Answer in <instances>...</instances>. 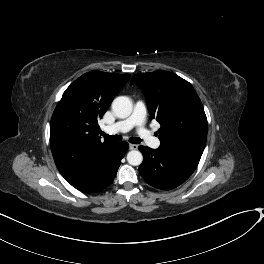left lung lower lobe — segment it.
Wrapping results in <instances>:
<instances>
[{"instance_id": "left-lung-lower-lobe-1", "label": "left lung lower lobe", "mask_w": 264, "mask_h": 264, "mask_svg": "<svg viewBox=\"0 0 264 264\" xmlns=\"http://www.w3.org/2000/svg\"><path fill=\"white\" fill-rule=\"evenodd\" d=\"M143 162L139 172L151 186L171 190L184 183L196 169L199 160L181 154H172L160 149L139 146Z\"/></svg>"}]
</instances>
